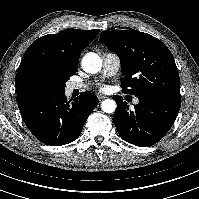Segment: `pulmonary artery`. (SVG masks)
<instances>
[{"mask_svg": "<svg viewBox=\"0 0 199 199\" xmlns=\"http://www.w3.org/2000/svg\"><path fill=\"white\" fill-rule=\"evenodd\" d=\"M102 62H103V75L104 77H111L116 75L121 66V61L120 58L117 54L112 53V52H106L102 55ZM87 85L85 82H72L68 85V91L72 92L73 90L76 89H83ZM134 104H138L139 100L135 98L133 100Z\"/></svg>", "mask_w": 199, "mask_h": 199, "instance_id": "1", "label": "pulmonary artery"}]
</instances>
